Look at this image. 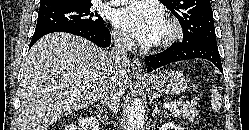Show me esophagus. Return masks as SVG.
Segmentation results:
<instances>
[{"label": "esophagus", "mask_w": 249, "mask_h": 130, "mask_svg": "<svg viewBox=\"0 0 249 130\" xmlns=\"http://www.w3.org/2000/svg\"><path fill=\"white\" fill-rule=\"evenodd\" d=\"M131 71L133 74L137 76H142L143 75V69H142V64L140 60L137 57H133L132 62H131Z\"/></svg>", "instance_id": "esophagus-1"}]
</instances>
